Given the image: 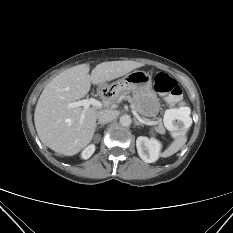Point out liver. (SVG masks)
<instances>
[{
	"instance_id": "liver-1",
	"label": "liver",
	"mask_w": 233,
	"mask_h": 233,
	"mask_svg": "<svg viewBox=\"0 0 233 233\" xmlns=\"http://www.w3.org/2000/svg\"><path fill=\"white\" fill-rule=\"evenodd\" d=\"M143 65L134 61L103 62L90 75L89 64H80L57 75L46 85L35 108L34 123L41 142L63 155L79 153L91 142L100 111L90 107L82 120L83 108L67 105L85 97L91 84L102 85ZM102 100L105 107L115 102L114 97Z\"/></svg>"
}]
</instances>
